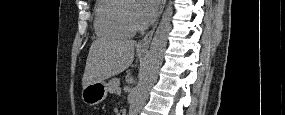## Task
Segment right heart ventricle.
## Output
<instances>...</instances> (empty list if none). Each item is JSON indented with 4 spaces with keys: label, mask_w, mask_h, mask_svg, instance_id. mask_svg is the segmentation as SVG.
<instances>
[{
    "label": "right heart ventricle",
    "mask_w": 285,
    "mask_h": 115,
    "mask_svg": "<svg viewBox=\"0 0 285 115\" xmlns=\"http://www.w3.org/2000/svg\"><path fill=\"white\" fill-rule=\"evenodd\" d=\"M123 5L124 0L97 1L94 10V29L99 37L121 38L133 33L123 21Z\"/></svg>",
    "instance_id": "e07e8e85"
}]
</instances>
